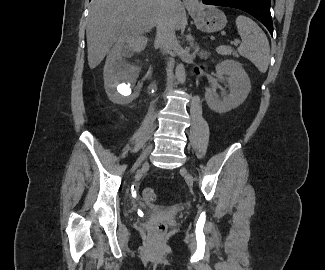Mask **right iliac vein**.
I'll use <instances>...</instances> for the list:
<instances>
[{
    "instance_id": "1",
    "label": "right iliac vein",
    "mask_w": 325,
    "mask_h": 270,
    "mask_svg": "<svg viewBox=\"0 0 325 270\" xmlns=\"http://www.w3.org/2000/svg\"><path fill=\"white\" fill-rule=\"evenodd\" d=\"M152 150V145L149 144L145 150L143 151V153L141 154L139 161L136 163V165L133 167V170H135L137 168V166L143 161L145 160V158L147 157V155L150 153V151Z\"/></svg>"
}]
</instances>
